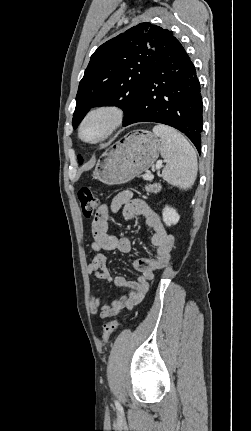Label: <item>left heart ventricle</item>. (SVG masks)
Returning a JSON list of instances; mask_svg holds the SVG:
<instances>
[{
  "label": "left heart ventricle",
  "mask_w": 251,
  "mask_h": 431,
  "mask_svg": "<svg viewBox=\"0 0 251 431\" xmlns=\"http://www.w3.org/2000/svg\"><path fill=\"white\" fill-rule=\"evenodd\" d=\"M108 119L105 115L92 117L85 125L83 136L87 140H94L100 137L106 129Z\"/></svg>",
  "instance_id": "b2bd125f"
}]
</instances>
